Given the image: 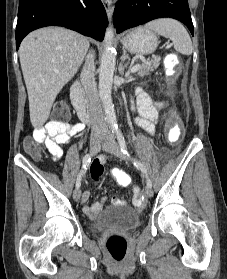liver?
Wrapping results in <instances>:
<instances>
[{
    "instance_id": "liver-1",
    "label": "liver",
    "mask_w": 227,
    "mask_h": 279,
    "mask_svg": "<svg viewBox=\"0 0 227 279\" xmlns=\"http://www.w3.org/2000/svg\"><path fill=\"white\" fill-rule=\"evenodd\" d=\"M87 37L62 27H46L27 35L19 48L30 121L43 126L61 89L74 77L87 50Z\"/></svg>"
}]
</instances>
